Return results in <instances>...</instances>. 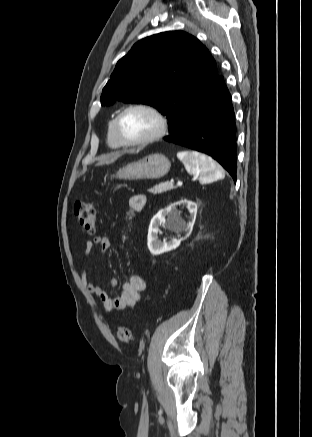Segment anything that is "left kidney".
Wrapping results in <instances>:
<instances>
[{
  "mask_svg": "<svg viewBox=\"0 0 312 437\" xmlns=\"http://www.w3.org/2000/svg\"><path fill=\"white\" fill-rule=\"evenodd\" d=\"M187 205L190 212V221L186 223L180 216L181 212L177 209V206ZM197 215V204L186 199L180 200L173 204H170L167 208L160 210L151 220L148 230V249L153 255H159L173 249H176L180 243L181 238H172L168 242L158 239L159 227L165 223V217L167 216L166 225L169 230L176 233L191 232L195 223Z\"/></svg>",
  "mask_w": 312,
  "mask_h": 437,
  "instance_id": "5707ae66",
  "label": "left kidney"
}]
</instances>
